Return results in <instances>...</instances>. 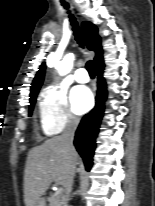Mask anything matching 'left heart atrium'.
Listing matches in <instances>:
<instances>
[{"label": "left heart atrium", "instance_id": "39dd6f15", "mask_svg": "<svg viewBox=\"0 0 155 206\" xmlns=\"http://www.w3.org/2000/svg\"><path fill=\"white\" fill-rule=\"evenodd\" d=\"M71 102L73 109L79 113H85L93 104V96L87 87L78 86L71 92Z\"/></svg>", "mask_w": 155, "mask_h": 206}]
</instances>
